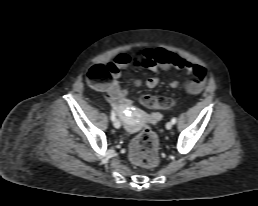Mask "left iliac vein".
<instances>
[{
	"instance_id": "left-iliac-vein-1",
	"label": "left iliac vein",
	"mask_w": 258,
	"mask_h": 206,
	"mask_svg": "<svg viewBox=\"0 0 258 206\" xmlns=\"http://www.w3.org/2000/svg\"><path fill=\"white\" fill-rule=\"evenodd\" d=\"M172 126H173V123H172V122H168V123L166 124V128H167L168 130H170V129L172 128Z\"/></svg>"
}]
</instances>
